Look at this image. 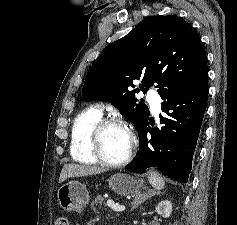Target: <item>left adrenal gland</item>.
<instances>
[{
	"label": "left adrenal gland",
	"mask_w": 237,
	"mask_h": 225,
	"mask_svg": "<svg viewBox=\"0 0 237 225\" xmlns=\"http://www.w3.org/2000/svg\"><path fill=\"white\" fill-rule=\"evenodd\" d=\"M156 194H161L159 191H148L147 193L144 194H137L132 202V208L131 211L140 206L145 200L149 199L150 197L156 195Z\"/></svg>",
	"instance_id": "obj_1"
}]
</instances>
